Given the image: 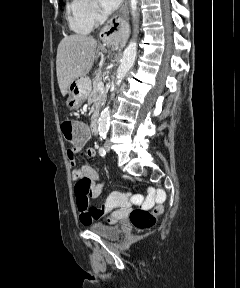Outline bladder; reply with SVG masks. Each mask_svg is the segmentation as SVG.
Returning a JSON list of instances; mask_svg holds the SVG:
<instances>
[{
  "mask_svg": "<svg viewBox=\"0 0 240 288\" xmlns=\"http://www.w3.org/2000/svg\"><path fill=\"white\" fill-rule=\"evenodd\" d=\"M90 231L96 235L106 238V239H117L120 235L119 228L114 225H108L104 223H96L90 226Z\"/></svg>",
  "mask_w": 240,
  "mask_h": 288,
  "instance_id": "31cf9c89",
  "label": "bladder"
}]
</instances>
